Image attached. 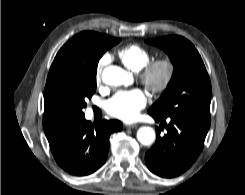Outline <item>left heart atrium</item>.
I'll use <instances>...</instances> for the list:
<instances>
[{
  "mask_svg": "<svg viewBox=\"0 0 245 195\" xmlns=\"http://www.w3.org/2000/svg\"><path fill=\"white\" fill-rule=\"evenodd\" d=\"M146 103V95L140 89L119 91L106 101L105 110L112 117L131 122L137 119Z\"/></svg>",
  "mask_w": 245,
  "mask_h": 195,
  "instance_id": "1",
  "label": "left heart atrium"
}]
</instances>
